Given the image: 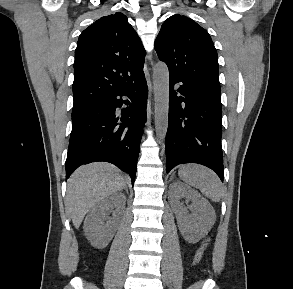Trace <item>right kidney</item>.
<instances>
[{"instance_id":"right-kidney-1","label":"right kidney","mask_w":293,"mask_h":289,"mask_svg":"<svg viewBox=\"0 0 293 289\" xmlns=\"http://www.w3.org/2000/svg\"><path fill=\"white\" fill-rule=\"evenodd\" d=\"M126 197L116 193L105 198L91 208L84 222L87 239L95 246L103 247L112 239L117 223L125 208ZM113 211V217L107 212Z\"/></svg>"}]
</instances>
